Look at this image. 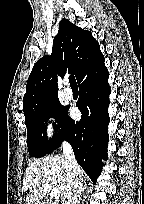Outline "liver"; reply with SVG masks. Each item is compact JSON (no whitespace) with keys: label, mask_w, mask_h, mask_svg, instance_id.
<instances>
[{"label":"liver","mask_w":144,"mask_h":204,"mask_svg":"<svg viewBox=\"0 0 144 204\" xmlns=\"http://www.w3.org/2000/svg\"><path fill=\"white\" fill-rule=\"evenodd\" d=\"M81 181L85 179V173L80 168ZM45 184L51 185L60 191L63 197L66 195L69 184L66 171V160L63 155L48 156L41 160H35L28 164L23 178L22 190H29L26 204H36L45 194Z\"/></svg>","instance_id":"6515ba94"}]
</instances>
